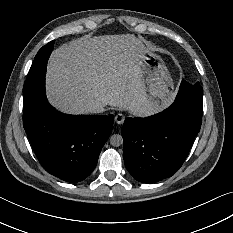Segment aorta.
Masks as SVG:
<instances>
[{"label":"aorta","mask_w":233,"mask_h":233,"mask_svg":"<svg viewBox=\"0 0 233 233\" xmlns=\"http://www.w3.org/2000/svg\"><path fill=\"white\" fill-rule=\"evenodd\" d=\"M110 144L115 147H119L123 144V138L119 134H114L110 137Z\"/></svg>","instance_id":"aorta-1"}]
</instances>
